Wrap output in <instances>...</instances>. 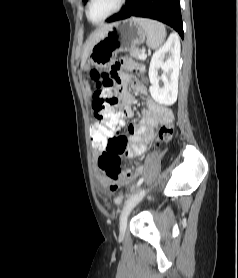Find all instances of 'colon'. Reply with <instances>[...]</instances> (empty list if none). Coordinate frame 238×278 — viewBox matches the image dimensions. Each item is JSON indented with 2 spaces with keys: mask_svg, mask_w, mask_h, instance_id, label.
<instances>
[{
  "mask_svg": "<svg viewBox=\"0 0 238 278\" xmlns=\"http://www.w3.org/2000/svg\"><path fill=\"white\" fill-rule=\"evenodd\" d=\"M91 78L96 84V91L93 94L92 107L98 124H91L90 134L93 136L92 149H104V153L99 158V166L104 171L107 178L110 179V189H118L122 180L131 176L138 170L137 164H132L130 168L122 167L121 154L126 153V144H108L109 135L121 134L119 132L121 123L122 106L119 98H116L114 85H111L113 76H107V71H91ZM172 135L170 125L161 127L159 131V140L167 141ZM122 196L117 197L121 201Z\"/></svg>",
  "mask_w": 238,
  "mask_h": 278,
  "instance_id": "1",
  "label": "colon"
}]
</instances>
